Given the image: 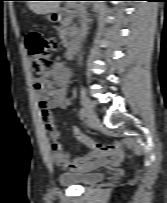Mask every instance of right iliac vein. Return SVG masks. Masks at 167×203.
Here are the masks:
<instances>
[{
  "label": "right iliac vein",
  "instance_id": "63e3f726",
  "mask_svg": "<svg viewBox=\"0 0 167 203\" xmlns=\"http://www.w3.org/2000/svg\"><path fill=\"white\" fill-rule=\"evenodd\" d=\"M81 101L86 113L89 126L96 125L98 123V118L94 112V108L91 100L87 97L84 91H81Z\"/></svg>",
  "mask_w": 167,
  "mask_h": 203
}]
</instances>
